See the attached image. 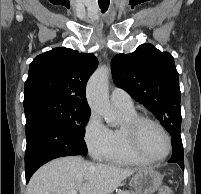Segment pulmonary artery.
Listing matches in <instances>:
<instances>
[{
    "label": "pulmonary artery",
    "mask_w": 201,
    "mask_h": 194,
    "mask_svg": "<svg viewBox=\"0 0 201 194\" xmlns=\"http://www.w3.org/2000/svg\"><path fill=\"white\" fill-rule=\"evenodd\" d=\"M110 100L116 108L133 109V101L130 95L120 88H114L110 95Z\"/></svg>",
    "instance_id": "pulmonary-artery-1"
}]
</instances>
